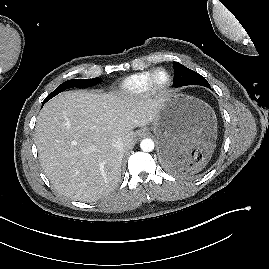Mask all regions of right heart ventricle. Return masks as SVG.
Listing matches in <instances>:
<instances>
[{
	"label": "right heart ventricle",
	"instance_id": "1",
	"mask_svg": "<svg viewBox=\"0 0 269 269\" xmlns=\"http://www.w3.org/2000/svg\"><path fill=\"white\" fill-rule=\"evenodd\" d=\"M153 71H143L125 78L120 86L119 91L128 96H141L148 89L149 79Z\"/></svg>",
	"mask_w": 269,
	"mask_h": 269
}]
</instances>
